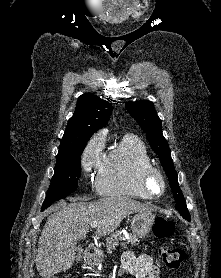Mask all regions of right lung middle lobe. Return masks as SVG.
Listing matches in <instances>:
<instances>
[{"label":"right lung middle lobe","mask_w":221,"mask_h":278,"mask_svg":"<svg viewBox=\"0 0 221 278\" xmlns=\"http://www.w3.org/2000/svg\"><path fill=\"white\" fill-rule=\"evenodd\" d=\"M86 144L87 143H83L76 147L58 152L55 173L46 194L42 210L77 189L78 179L81 175L80 155Z\"/></svg>","instance_id":"right-lung-middle-lobe-1"}]
</instances>
